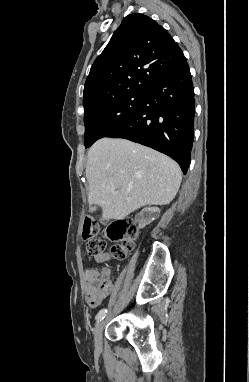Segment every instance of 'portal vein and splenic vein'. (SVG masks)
<instances>
[{"instance_id":"portal-vein-and-splenic-vein-1","label":"portal vein and splenic vein","mask_w":249,"mask_h":382,"mask_svg":"<svg viewBox=\"0 0 249 382\" xmlns=\"http://www.w3.org/2000/svg\"><path fill=\"white\" fill-rule=\"evenodd\" d=\"M113 194H117V192L113 191Z\"/></svg>"}]
</instances>
